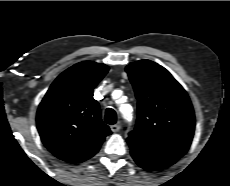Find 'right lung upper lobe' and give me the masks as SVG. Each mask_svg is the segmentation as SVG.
I'll list each match as a JSON object with an SVG mask.
<instances>
[{
    "label": "right lung upper lobe",
    "instance_id": "obj_1",
    "mask_svg": "<svg viewBox=\"0 0 230 186\" xmlns=\"http://www.w3.org/2000/svg\"><path fill=\"white\" fill-rule=\"evenodd\" d=\"M108 70V66L92 61L75 64L56 78L42 99L37 129L43 144L59 159L85 161L111 134L93 98L94 87Z\"/></svg>",
    "mask_w": 230,
    "mask_h": 186
}]
</instances>
